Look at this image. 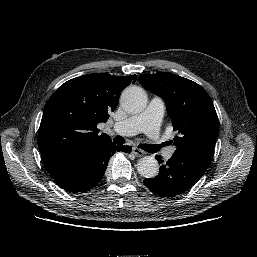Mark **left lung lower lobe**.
<instances>
[{
  "label": "left lung lower lobe",
  "instance_id": "0a47b994",
  "mask_svg": "<svg viewBox=\"0 0 257 257\" xmlns=\"http://www.w3.org/2000/svg\"><path fill=\"white\" fill-rule=\"evenodd\" d=\"M161 163L159 174L151 179H144V184L160 197H175L190 189L205 173L209 166L195 160L189 155L175 152L163 164L161 157L156 156Z\"/></svg>",
  "mask_w": 257,
  "mask_h": 257
}]
</instances>
